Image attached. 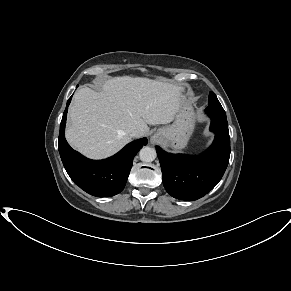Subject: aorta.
I'll return each mask as SVG.
<instances>
[{
    "label": "aorta",
    "instance_id": "obj_1",
    "mask_svg": "<svg viewBox=\"0 0 291 291\" xmlns=\"http://www.w3.org/2000/svg\"><path fill=\"white\" fill-rule=\"evenodd\" d=\"M139 157L143 162H152L156 158V150L151 147H144L140 150Z\"/></svg>",
    "mask_w": 291,
    "mask_h": 291
}]
</instances>
